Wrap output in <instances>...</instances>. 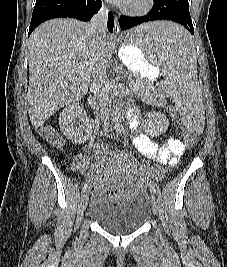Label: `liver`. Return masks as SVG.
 I'll list each match as a JSON object with an SVG mask.
<instances>
[{
  "mask_svg": "<svg viewBox=\"0 0 227 267\" xmlns=\"http://www.w3.org/2000/svg\"><path fill=\"white\" fill-rule=\"evenodd\" d=\"M75 19H52L32 33L28 46V113L35 129L60 108L87 93L99 59V48ZM105 59L113 53V38L106 34Z\"/></svg>",
  "mask_w": 227,
  "mask_h": 267,
  "instance_id": "1",
  "label": "liver"
}]
</instances>
